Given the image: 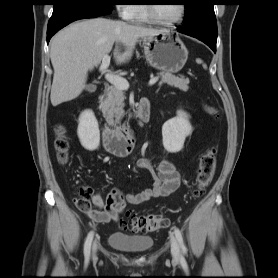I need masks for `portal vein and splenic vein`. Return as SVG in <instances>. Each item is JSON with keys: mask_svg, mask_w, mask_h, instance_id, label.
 <instances>
[{"mask_svg": "<svg viewBox=\"0 0 278 278\" xmlns=\"http://www.w3.org/2000/svg\"><path fill=\"white\" fill-rule=\"evenodd\" d=\"M109 64H110V56L109 55H104L103 59H102L101 66H100V71L102 73H106ZM105 78L109 83H111L112 85H114L115 87H117L119 89L127 90L129 88L128 81L123 77L113 75V74H110V73H106ZM157 81H158V77L151 78L150 81H149V86L154 85Z\"/></svg>", "mask_w": 278, "mask_h": 278, "instance_id": "portal-vein-and-splenic-vein-1", "label": "portal vein and splenic vein"}]
</instances>
